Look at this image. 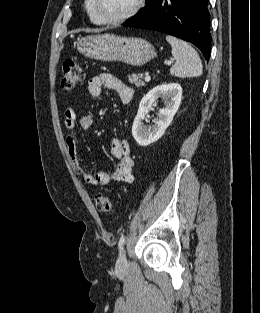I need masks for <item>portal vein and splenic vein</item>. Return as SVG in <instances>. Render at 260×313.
Returning <instances> with one entry per match:
<instances>
[{
	"mask_svg": "<svg viewBox=\"0 0 260 313\" xmlns=\"http://www.w3.org/2000/svg\"><path fill=\"white\" fill-rule=\"evenodd\" d=\"M168 64H170V62H169ZM150 80H151V77H150L148 74H146V76H145V81H146V82H149Z\"/></svg>",
	"mask_w": 260,
	"mask_h": 313,
	"instance_id": "18ae733b",
	"label": "portal vein and splenic vein"
}]
</instances>
